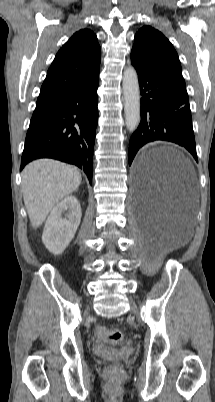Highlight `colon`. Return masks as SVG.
<instances>
[{
	"mask_svg": "<svg viewBox=\"0 0 215 402\" xmlns=\"http://www.w3.org/2000/svg\"><path fill=\"white\" fill-rule=\"evenodd\" d=\"M97 336L109 344H118L123 339V333L119 329H110L104 326H99L96 329ZM109 375L115 376L119 373V368L113 366L108 371Z\"/></svg>",
	"mask_w": 215,
	"mask_h": 402,
	"instance_id": "5ec220e1",
	"label": "colon"
}]
</instances>
